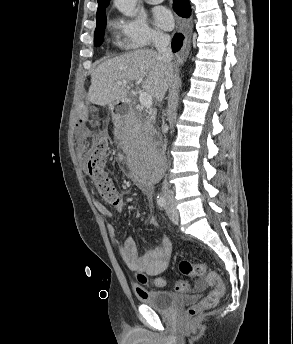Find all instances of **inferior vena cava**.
Returning a JSON list of instances; mask_svg holds the SVG:
<instances>
[{
	"mask_svg": "<svg viewBox=\"0 0 293 344\" xmlns=\"http://www.w3.org/2000/svg\"><path fill=\"white\" fill-rule=\"evenodd\" d=\"M153 43L158 55L168 69L172 68L173 53L170 48V36L162 32H155L152 36ZM162 192L165 197H173V193L168 188L167 182L163 183Z\"/></svg>",
	"mask_w": 293,
	"mask_h": 344,
	"instance_id": "obj_1",
	"label": "inferior vena cava"
}]
</instances>
